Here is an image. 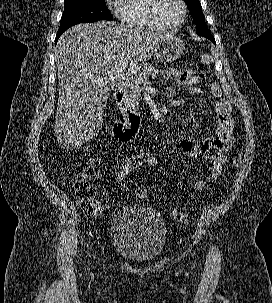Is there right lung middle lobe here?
<instances>
[{"label": "right lung middle lobe", "instance_id": "obj_1", "mask_svg": "<svg viewBox=\"0 0 272 303\" xmlns=\"http://www.w3.org/2000/svg\"><path fill=\"white\" fill-rule=\"evenodd\" d=\"M58 33L79 23H90L98 20H113L106 7L105 0H65Z\"/></svg>", "mask_w": 272, "mask_h": 303}]
</instances>
